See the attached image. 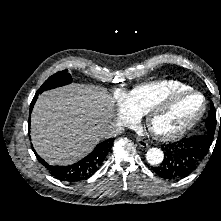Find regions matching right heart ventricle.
<instances>
[{
  "instance_id": "e07e8e85",
  "label": "right heart ventricle",
  "mask_w": 221,
  "mask_h": 221,
  "mask_svg": "<svg viewBox=\"0 0 221 221\" xmlns=\"http://www.w3.org/2000/svg\"><path fill=\"white\" fill-rule=\"evenodd\" d=\"M188 89H191L189 85L177 80H158L136 85L125 95L129 108L138 116H142L154 102Z\"/></svg>"
}]
</instances>
